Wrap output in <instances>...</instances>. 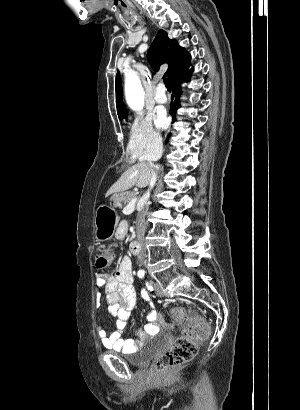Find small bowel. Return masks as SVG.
<instances>
[{
	"label": "small bowel",
	"mask_w": 300,
	"mask_h": 410,
	"mask_svg": "<svg viewBox=\"0 0 300 410\" xmlns=\"http://www.w3.org/2000/svg\"><path fill=\"white\" fill-rule=\"evenodd\" d=\"M132 262L123 257L114 274H97V295L106 294L108 312L116 318L115 330L109 333L103 325L97 327V334L104 347L129 353L137 350L144 342L154 338L166 327L161 314L152 310L147 316L148 323L144 329L136 332L135 339L123 337L130 313L136 306L137 293L133 286ZM143 299L150 301L146 291H142ZM153 306V304L151 303Z\"/></svg>",
	"instance_id": "obj_1"
}]
</instances>
